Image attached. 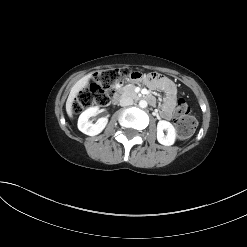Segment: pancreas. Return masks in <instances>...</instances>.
Wrapping results in <instances>:
<instances>
[{
	"label": "pancreas",
	"instance_id": "obj_1",
	"mask_svg": "<svg viewBox=\"0 0 247 247\" xmlns=\"http://www.w3.org/2000/svg\"><path fill=\"white\" fill-rule=\"evenodd\" d=\"M123 91L128 92V93H130V94H132V95L135 94V93H134V86H131V85L125 86V87L123 88Z\"/></svg>",
	"mask_w": 247,
	"mask_h": 247
}]
</instances>
